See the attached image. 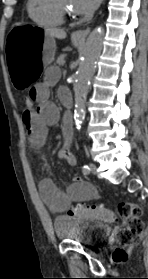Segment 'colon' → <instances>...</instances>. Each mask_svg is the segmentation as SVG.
I'll list each match as a JSON object with an SVG mask.
<instances>
[{"instance_id": "5ec220e1", "label": "colon", "mask_w": 148, "mask_h": 279, "mask_svg": "<svg viewBox=\"0 0 148 279\" xmlns=\"http://www.w3.org/2000/svg\"><path fill=\"white\" fill-rule=\"evenodd\" d=\"M24 103L26 107H30L34 103V98L27 94ZM68 214L73 217L104 222H122L123 226L116 234L118 246L113 254L116 262H122L127 259L130 247L140 238L145 227L142 219L143 210L141 206L132 202L119 203L116 212L103 206L77 205L70 208Z\"/></svg>"}]
</instances>
